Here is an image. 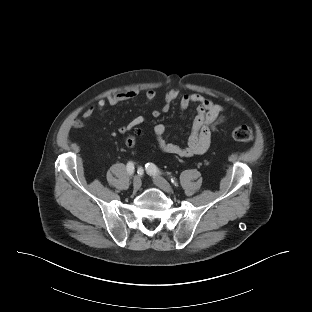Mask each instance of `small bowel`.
<instances>
[{
	"instance_id": "small-bowel-1",
	"label": "small bowel",
	"mask_w": 312,
	"mask_h": 312,
	"mask_svg": "<svg viewBox=\"0 0 312 312\" xmlns=\"http://www.w3.org/2000/svg\"><path fill=\"white\" fill-rule=\"evenodd\" d=\"M137 96L138 91L136 90L108 96L106 99L99 100L96 105L86 108L82 114L83 118L89 119L95 111L103 113L107 105L115 106L121 102L135 99ZM145 98L148 101H153L156 98L155 90L148 89L145 93ZM176 100H179L181 112H184L191 104L196 105V115L192 122L190 135L185 146L168 142L164 137L166 132L165 126L158 123L153 128L158 148L164 153L180 158H188L205 153L210 147L212 134L225 121L224 108L202 94L185 93L180 95L176 88H171L165 94L162 108L153 110L152 116L157 118L161 113L168 112ZM144 122L145 118L143 116H136L129 123L120 126L118 131L120 134L125 135L141 126Z\"/></svg>"
}]
</instances>
